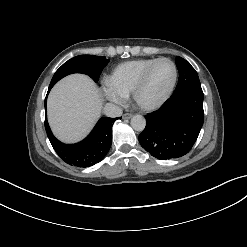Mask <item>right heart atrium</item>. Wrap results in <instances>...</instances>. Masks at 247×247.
<instances>
[{
    "instance_id": "1",
    "label": "right heart atrium",
    "mask_w": 247,
    "mask_h": 247,
    "mask_svg": "<svg viewBox=\"0 0 247 247\" xmlns=\"http://www.w3.org/2000/svg\"><path fill=\"white\" fill-rule=\"evenodd\" d=\"M103 90L107 98L114 102H122L125 99V95L108 83V81L104 83Z\"/></svg>"
}]
</instances>
